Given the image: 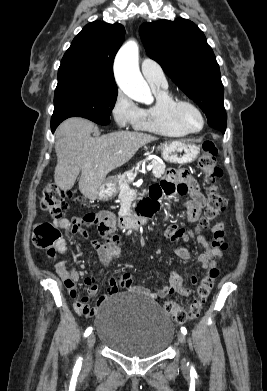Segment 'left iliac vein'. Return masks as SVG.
<instances>
[{
    "instance_id": "left-iliac-vein-1",
    "label": "left iliac vein",
    "mask_w": 267,
    "mask_h": 391,
    "mask_svg": "<svg viewBox=\"0 0 267 391\" xmlns=\"http://www.w3.org/2000/svg\"><path fill=\"white\" fill-rule=\"evenodd\" d=\"M177 339L178 341L181 343V344H185V341H186V338H185V334H183L182 332H178L177 333ZM182 366L183 367H186V361H182Z\"/></svg>"
}]
</instances>
